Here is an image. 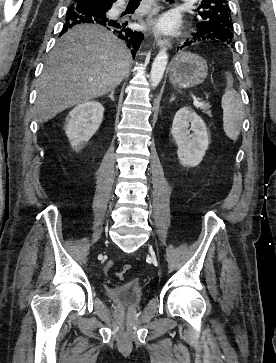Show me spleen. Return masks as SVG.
Segmentation results:
<instances>
[{"label":"spleen","mask_w":276,"mask_h":363,"mask_svg":"<svg viewBox=\"0 0 276 363\" xmlns=\"http://www.w3.org/2000/svg\"><path fill=\"white\" fill-rule=\"evenodd\" d=\"M226 89L222 96L223 129L232 140H236L240 134V128L244 119V105L240 95L233 89V76L226 72Z\"/></svg>","instance_id":"3e777b00"}]
</instances>
